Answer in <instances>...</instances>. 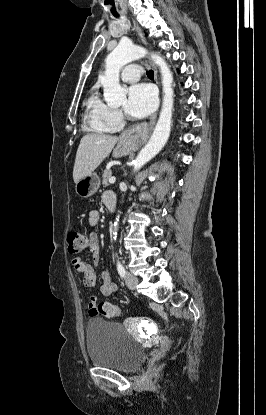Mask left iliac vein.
Returning a JSON list of instances; mask_svg holds the SVG:
<instances>
[{
	"mask_svg": "<svg viewBox=\"0 0 266 415\" xmlns=\"http://www.w3.org/2000/svg\"><path fill=\"white\" fill-rule=\"evenodd\" d=\"M125 282L129 289L135 290L138 285V278L130 272L125 275Z\"/></svg>",
	"mask_w": 266,
	"mask_h": 415,
	"instance_id": "left-iliac-vein-1",
	"label": "left iliac vein"
}]
</instances>
